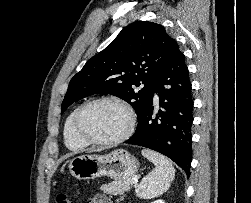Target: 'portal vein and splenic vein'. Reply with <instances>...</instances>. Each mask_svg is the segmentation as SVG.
<instances>
[{
	"label": "portal vein and splenic vein",
	"mask_w": 251,
	"mask_h": 203,
	"mask_svg": "<svg viewBox=\"0 0 251 203\" xmlns=\"http://www.w3.org/2000/svg\"><path fill=\"white\" fill-rule=\"evenodd\" d=\"M133 184H137V182H138V179L137 178H133Z\"/></svg>",
	"instance_id": "1"
}]
</instances>
